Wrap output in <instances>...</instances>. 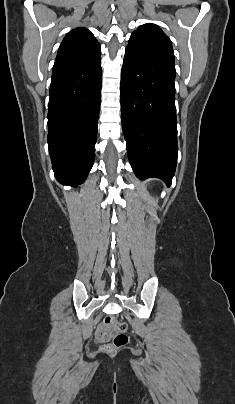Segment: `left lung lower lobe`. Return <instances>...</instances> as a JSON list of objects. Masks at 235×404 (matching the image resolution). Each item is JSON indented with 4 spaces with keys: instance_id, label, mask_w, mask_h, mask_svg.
<instances>
[{
    "instance_id": "1",
    "label": "left lung lower lobe",
    "mask_w": 235,
    "mask_h": 404,
    "mask_svg": "<svg viewBox=\"0 0 235 404\" xmlns=\"http://www.w3.org/2000/svg\"><path fill=\"white\" fill-rule=\"evenodd\" d=\"M175 66L126 48L121 74L122 128L135 175L170 186L178 144Z\"/></svg>"
}]
</instances>
